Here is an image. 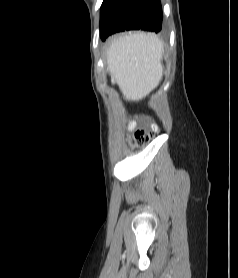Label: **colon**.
I'll return each instance as SVG.
<instances>
[{
  "mask_svg": "<svg viewBox=\"0 0 238 278\" xmlns=\"http://www.w3.org/2000/svg\"><path fill=\"white\" fill-rule=\"evenodd\" d=\"M156 133H157V127L155 126L148 131L139 129L135 131L133 141L135 144L142 145L146 143L150 138H152Z\"/></svg>",
  "mask_w": 238,
  "mask_h": 278,
  "instance_id": "colon-1",
  "label": "colon"
}]
</instances>
